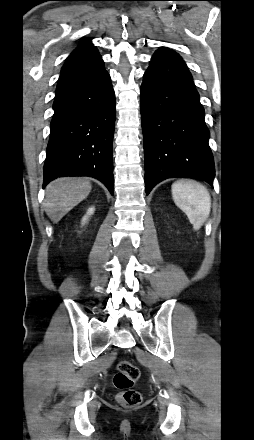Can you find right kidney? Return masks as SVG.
<instances>
[{
  "label": "right kidney",
  "mask_w": 254,
  "mask_h": 440,
  "mask_svg": "<svg viewBox=\"0 0 254 440\" xmlns=\"http://www.w3.org/2000/svg\"><path fill=\"white\" fill-rule=\"evenodd\" d=\"M94 213V208H89L87 214L82 219V224L86 223L88 217Z\"/></svg>",
  "instance_id": "1"
}]
</instances>
